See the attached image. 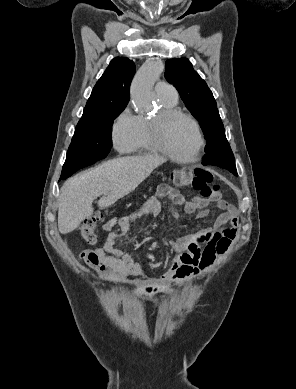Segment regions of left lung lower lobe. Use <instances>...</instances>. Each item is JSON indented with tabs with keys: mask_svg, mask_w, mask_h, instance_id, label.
I'll use <instances>...</instances> for the list:
<instances>
[{
	"mask_svg": "<svg viewBox=\"0 0 296 389\" xmlns=\"http://www.w3.org/2000/svg\"><path fill=\"white\" fill-rule=\"evenodd\" d=\"M205 162V165H216L229 170L236 176L238 175L235 166L234 155L226 139V136L215 146H213L209 152H207L205 156Z\"/></svg>",
	"mask_w": 296,
	"mask_h": 389,
	"instance_id": "0a47b994",
	"label": "left lung lower lobe"
}]
</instances>
